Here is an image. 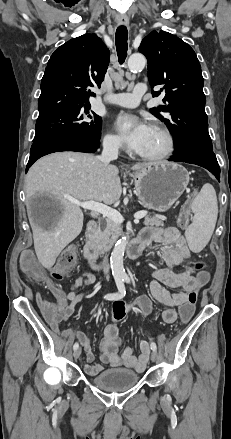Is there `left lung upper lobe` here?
Wrapping results in <instances>:
<instances>
[{
	"mask_svg": "<svg viewBox=\"0 0 231 439\" xmlns=\"http://www.w3.org/2000/svg\"><path fill=\"white\" fill-rule=\"evenodd\" d=\"M139 51L148 60L151 87L163 85L166 105L151 108L164 122L175 141V152L188 147L213 149L205 113L201 66L194 50L180 38L165 31H153L141 42Z\"/></svg>",
	"mask_w": 231,
	"mask_h": 439,
	"instance_id": "left-lung-upper-lobe-1",
	"label": "left lung upper lobe"
}]
</instances>
